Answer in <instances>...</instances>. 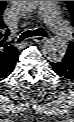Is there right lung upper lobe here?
<instances>
[{
  "label": "right lung upper lobe",
  "instance_id": "1",
  "mask_svg": "<svg viewBox=\"0 0 74 122\" xmlns=\"http://www.w3.org/2000/svg\"><path fill=\"white\" fill-rule=\"evenodd\" d=\"M5 6L6 1H0V77L6 76L18 59L17 49L10 45L9 42H6L9 31L1 19Z\"/></svg>",
  "mask_w": 74,
  "mask_h": 122
}]
</instances>
